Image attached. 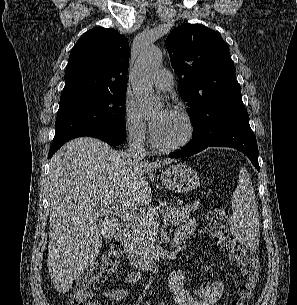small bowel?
<instances>
[{"label":"small bowel","mask_w":297,"mask_h":305,"mask_svg":"<svg viewBox=\"0 0 297 305\" xmlns=\"http://www.w3.org/2000/svg\"><path fill=\"white\" fill-rule=\"evenodd\" d=\"M194 228L195 221L189 219L178 228V231L186 230L190 235ZM137 278L138 274L133 273L126 278V282H135ZM167 283L177 305H215L223 296L226 286L223 280H217L194 290H189L185 287L186 273L182 269L173 271L168 277ZM103 296L109 300L119 301L129 298L131 293L127 288H110L103 292ZM163 305L166 304L163 303Z\"/></svg>","instance_id":"c3829d8e"}]
</instances>
